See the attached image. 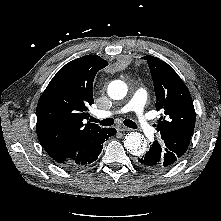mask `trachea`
Returning a JSON list of instances; mask_svg holds the SVG:
<instances>
[{
  "label": "trachea",
  "instance_id": "3493384b",
  "mask_svg": "<svg viewBox=\"0 0 221 221\" xmlns=\"http://www.w3.org/2000/svg\"><path fill=\"white\" fill-rule=\"evenodd\" d=\"M91 121L92 122H99L102 126H111L114 124V119L113 118H107V119H103V120H98L94 117H91ZM124 125L127 126V127H130V128H133V129H136L137 128V125L132 121V120H129V119H126L123 121Z\"/></svg>",
  "mask_w": 221,
  "mask_h": 221
}]
</instances>
